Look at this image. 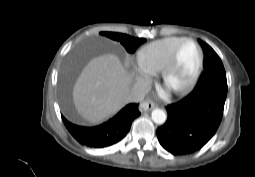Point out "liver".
Instances as JSON below:
<instances>
[{
    "label": "liver",
    "mask_w": 255,
    "mask_h": 177,
    "mask_svg": "<svg viewBox=\"0 0 255 177\" xmlns=\"http://www.w3.org/2000/svg\"><path fill=\"white\" fill-rule=\"evenodd\" d=\"M129 84L130 76L117 56L104 54L95 57L74 84L73 103L82 118L98 124L127 103Z\"/></svg>",
    "instance_id": "liver-1"
}]
</instances>
